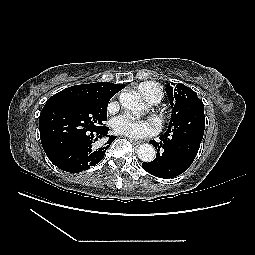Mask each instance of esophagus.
Masks as SVG:
<instances>
[{
    "label": "esophagus",
    "instance_id": "obj_1",
    "mask_svg": "<svg viewBox=\"0 0 255 255\" xmlns=\"http://www.w3.org/2000/svg\"><path fill=\"white\" fill-rule=\"evenodd\" d=\"M130 141L134 144V145H140L141 144V141L140 140H137V139H133V138H129Z\"/></svg>",
    "mask_w": 255,
    "mask_h": 255
}]
</instances>
